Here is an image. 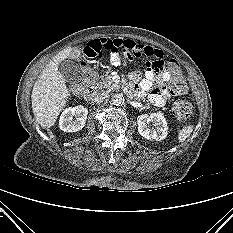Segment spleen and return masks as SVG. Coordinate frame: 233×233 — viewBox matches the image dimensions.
<instances>
[{
    "label": "spleen",
    "mask_w": 233,
    "mask_h": 233,
    "mask_svg": "<svg viewBox=\"0 0 233 233\" xmlns=\"http://www.w3.org/2000/svg\"><path fill=\"white\" fill-rule=\"evenodd\" d=\"M192 131H193L192 125L183 126V128L178 131V137H177L178 142L181 143L184 142L190 136Z\"/></svg>",
    "instance_id": "1"
}]
</instances>
